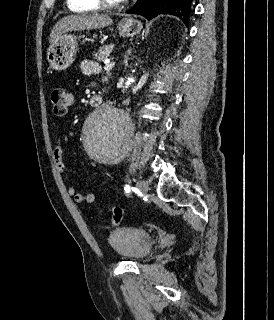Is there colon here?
<instances>
[{
	"label": "colon",
	"instance_id": "1",
	"mask_svg": "<svg viewBox=\"0 0 274 320\" xmlns=\"http://www.w3.org/2000/svg\"><path fill=\"white\" fill-rule=\"evenodd\" d=\"M50 101L56 115H65L72 104V95L70 92L66 91L64 87L57 86L51 90ZM111 213L112 220L110 225L116 226L121 222L124 216V211L119 207L113 206Z\"/></svg>",
	"mask_w": 274,
	"mask_h": 320
}]
</instances>
